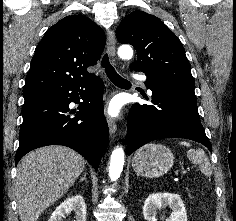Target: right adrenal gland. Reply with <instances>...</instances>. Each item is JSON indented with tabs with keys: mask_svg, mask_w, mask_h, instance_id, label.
Returning a JSON list of instances; mask_svg holds the SVG:
<instances>
[{
	"mask_svg": "<svg viewBox=\"0 0 236 221\" xmlns=\"http://www.w3.org/2000/svg\"><path fill=\"white\" fill-rule=\"evenodd\" d=\"M86 175H87L86 172H84V175L82 178H80L79 182L87 181Z\"/></svg>",
	"mask_w": 236,
	"mask_h": 221,
	"instance_id": "obj_1",
	"label": "right adrenal gland"
}]
</instances>
